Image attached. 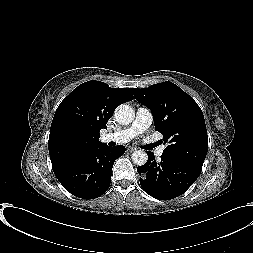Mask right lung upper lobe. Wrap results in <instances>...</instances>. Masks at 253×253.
Instances as JSON below:
<instances>
[{
	"mask_svg": "<svg viewBox=\"0 0 253 253\" xmlns=\"http://www.w3.org/2000/svg\"><path fill=\"white\" fill-rule=\"evenodd\" d=\"M131 88H111L100 81H88L76 87L58 106L49 135V154L55 164L92 148L99 142L100 130L115 109L133 100Z\"/></svg>",
	"mask_w": 253,
	"mask_h": 253,
	"instance_id": "obj_1",
	"label": "right lung upper lobe"
}]
</instances>
